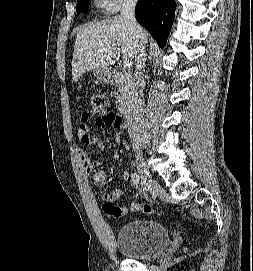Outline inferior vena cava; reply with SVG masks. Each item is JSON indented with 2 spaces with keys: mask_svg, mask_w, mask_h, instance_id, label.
<instances>
[{
  "mask_svg": "<svg viewBox=\"0 0 253 271\" xmlns=\"http://www.w3.org/2000/svg\"><path fill=\"white\" fill-rule=\"evenodd\" d=\"M137 0H124L121 17L132 28L137 40L136 72L132 99L128 107V134L135 152L140 150V121L143 107V88L145 86L143 69L145 65V37L142 27L135 18Z\"/></svg>",
  "mask_w": 253,
  "mask_h": 271,
  "instance_id": "inferior-vena-cava-1",
  "label": "inferior vena cava"
}]
</instances>
